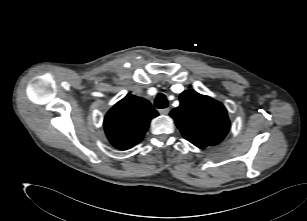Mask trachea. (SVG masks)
Masks as SVG:
<instances>
[{
  "label": "trachea",
  "mask_w": 307,
  "mask_h": 221,
  "mask_svg": "<svg viewBox=\"0 0 307 221\" xmlns=\"http://www.w3.org/2000/svg\"><path fill=\"white\" fill-rule=\"evenodd\" d=\"M154 105L156 108H159V109L168 107V100L166 96L163 93H159L155 98Z\"/></svg>",
  "instance_id": "1"
}]
</instances>
